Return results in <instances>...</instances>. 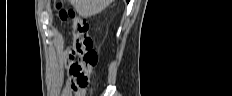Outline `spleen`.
I'll return each instance as SVG.
<instances>
[{"label": "spleen", "mask_w": 232, "mask_h": 96, "mask_svg": "<svg viewBox=\"0 0 232 96\" xmlns=\"http://www.w3.org/2000/svg\"><path fill=\"white\" fill-rule=\"evenodd\" d=\"M77 13L82 17H91L102 12L111 0H71Z\"/></svg>", "instance_id": "spleen-1"}]
</instances>
